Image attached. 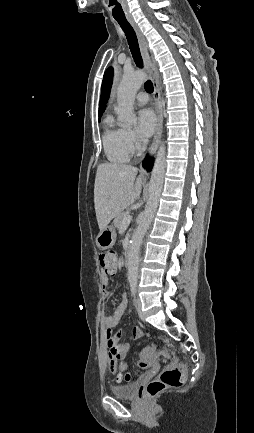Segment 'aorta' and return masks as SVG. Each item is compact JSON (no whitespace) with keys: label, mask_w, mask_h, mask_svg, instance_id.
Listing matches in <instances>:
<instances>
[{"label":"aorta","mask_w":254,"mask_h":433,"mask_svg":"<svg viewBox=\"0 0 254 433\" xmlns=\"http://www.w3.org/2000/svg\"><path fill=\"white\" fill-rule=\"evenodd\" d=\"M146 79V74L142 71L125 72L117 89V112L120 121L126 126L136 123V116L133 104L136 92ZM166 148L162 143L157 151L155 163L151 173L149 183V198L145 207V212L141 222L132 236L130 251L128 254V280L136 282L139 273V249L143 237L152 222L158 207L159 198L163 188L165 173Z\"/></svg>","instance_id":"aorta-1"}]
</instances>
